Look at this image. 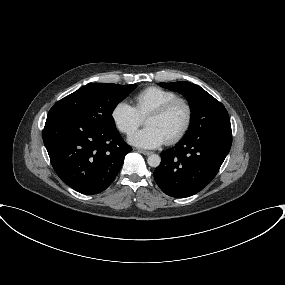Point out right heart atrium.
Here are the masks:
<instances>
[{"instance_id": "right-heart-atrium-1", "label": "right heart atrium", "mask_w": 285, "mask_h": 285, "mask_svg": "<svg viewBox=\"0 0 285 285\" xmlns=\"http://www.w3.org/2000/svg\"><path fill=\"white\" fill-rule=\"evenodd\" d=\"M111 118L115 127L126 135L133 133L142 123V117L126 101H120L114 105Z\"/></svg>"}]
</instances>
